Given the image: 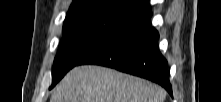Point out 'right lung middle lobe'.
<instances>
[{
	"instance_id": "1",
	"label": "right lung middle lobe",
	"mask_w": 221,
	"mask_h": 102,
	"mask_svg": "<svg viewBox=\"0 0 221 102\" xmlns=\"http://www.w3.org/2000/svg\"><path fill=\"white\" fill-rule=\"evenodd\" d=\"M141 11L108 1L89 3L68 11L63 37L54 60L52 86L94 49L126 28Z\"/></svg>"
}]
</instances>
